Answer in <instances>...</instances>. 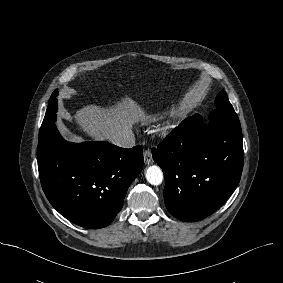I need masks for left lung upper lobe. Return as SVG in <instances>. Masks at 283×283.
Here are the masks:
<instances>
[{"mask_svg":"<svg viewBox=\"0 0 283 283\" xmlns=\"http://www.w3.org/2000/svg\"><path fill=\"white\" fill-rule=\"evenodd\" d=\"M217 108H224V109H233V106L228 100L227 94L224 90H222L216 97L215 100Z\"/></svg>","mask_w":283,"mask_h":283,"instance_id":"left-lung-upper-lobe-1","label":"left lung upper lobe"}]
</instances>
